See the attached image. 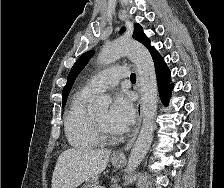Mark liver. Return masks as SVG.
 Returning a JSON list of instances; mask_svg holds the SVG:
<instances>
[{"instance_id": "obj_1", "label": "liver", "mask_w": 224, "mask_h": 188, "mask_svg": "<svg viewBox=\"0 0 224 188\" xmlns=\"http://www.w3.org/2000/svg\"><path fill=\"white\" fill-rule=\"evenodd\" d=\"M110 154L105 149L69 148L63 151L52 175V188H77L106 168Z\"/></svg>"}]
</instances>
